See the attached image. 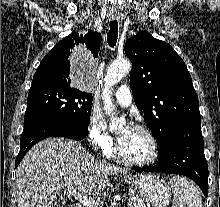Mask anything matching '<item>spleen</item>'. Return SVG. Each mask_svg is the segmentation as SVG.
I'll list each match as a JSON object with an SVG mask.
<instances>
[{
	"instance_id": "obj_1",
	"label": "spleen",
	"mask_w": 220,
	"mask_h": 207,
	"mask_svg": "<svg viewBox=\"0 0 220 207\" xmlns=\"http://www.w3.org/2000/svg\"><path fill=\"white\" fill-rule=\"evenodd\" d=\"M173 207H202L199 190L185 178L174 176L171 180Z\"/></svg>"
}]
</instances>
